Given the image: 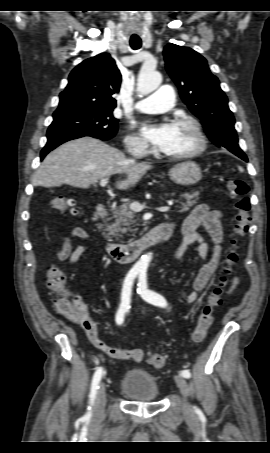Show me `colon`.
<instances>
[{
	"label": "colon",
	"instance_id": "colon-1",
	"mask_svg": "<svg viewBox=\"0 0 270 453\" xmlns=\"http://www.w3.org/2000/svg\"><path fill=\"white\" fill-rule=\"evenodd\" d=\"M227 188L236 201V217L234 226V235L231 242V248L227 254L226 266L223 275L219 282L209 293L206 303L197 317V325L192 334V340L195 343H201L205 340L208 330L213 322L214 310L222 303L223 295L229 283V277L233 273L235 266L238 263L239 255V239L244 237L251 223V201L248 196L249 187L245 180L241 178H231L227 181ZM51 205L53 209L68 214H76L75 202L71 199L56 196L52 199ZM46 285L48 289L56 294L54 299L55 309L68 317L77 318L80 314L79 303L75 296H71L65 292V273L56 266L52 265L46 273ZM149 363L158 369H161L166 364V358L160 353H151L148 356Z\"/></svg>",
	"mask_w": 270,
	"mask_h": 453
}]
</instances>
